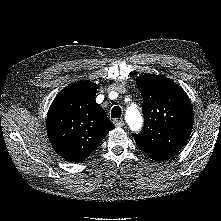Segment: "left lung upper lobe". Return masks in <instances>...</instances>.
<instances>
[{
    "mask_svg": "<svg viewBox=\"0 0 221 221\" xmlns=\"http://www.w3.org/2000/svg\"><path fill=\"white\" fill-rule=\"evenodd\" d=\"M143 96L144 127L135 134L137 146L151 159L167 160L188 140L193 126L191 102L185 91L162 75L136 78Z\"/></svg>",
    "mask_w": 221,
    "mask_h": 221,
    "instance_id": "5c2ea615",
    "label": "left lung upper lobe"
}]
</instances>
